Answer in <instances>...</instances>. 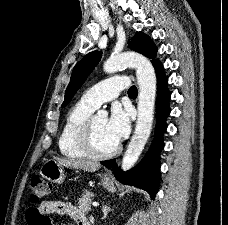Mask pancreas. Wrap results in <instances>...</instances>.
<instances>
[{
	"label": "pancreas",
	"mask_w": 228,
	"mask_h": 225,
	"mask_svg": "<svg viewBox=\"0 0 228 225\" xmlns=\"http://www.w3.org/2000/svg\"><path fill=\"white\" fill-rule=\"evenodd\" d=\"M92 195L93 193L85 191L84 195H81L80 199H78L77 205H79V209H81V211H84V213L91 211Z\"/></svg>",
	"instance_id": "obj_1"
}]
</instances>
